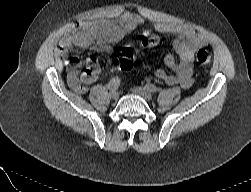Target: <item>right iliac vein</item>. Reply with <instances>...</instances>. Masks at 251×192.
Here are the masks:
<instances>
[{"mask_svg": "<svg viewBox=\"0 0 251 192\" xmlns=\"http://www.w3.org/2000/svg\"><path fill=\"white\" fill-rule=\"evenodd\" d=\"M110 97L114 100H117L119 98V94L116 90H111L110 91Z\"/></svg>", "mask_w": 251, "mask_h": 192, "instance_id": "63e3f726", "label": "right iliac vein"}]
</instances>
